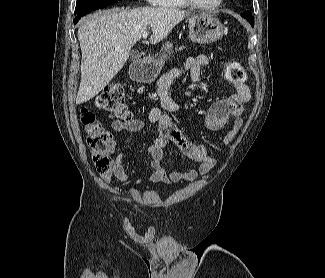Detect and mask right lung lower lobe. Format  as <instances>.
<instances>
[{
  "label": "right lung lower lobe",
  "mask_w": 325,
  "mask_h": 278,
  "mask_svg": "<svg viewBox=\"0 0 325 278\" xmlns=\"http://www.w3.org/2000/svg\"><path fill=\"white\" fill-rule=\"evenodd\" d=\"M88 14V13H87ZM86 14H80V15H78V16H76L75 17V19H74V24H76L78 21H79V19L82 17V16H85Z\"/></svg>",
  "instance_id": "obj_1"
}]
</instances>
